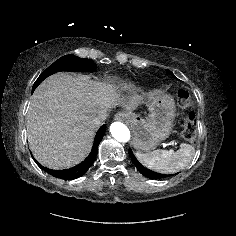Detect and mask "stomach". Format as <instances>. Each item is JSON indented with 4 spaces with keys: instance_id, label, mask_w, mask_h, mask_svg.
<instances>
[{
    "instance_id": "0dacf381",
    "label": "stomach",
    "mask_w": 236,
    "mask_h": 236,
    "mask_svg": "<svg viewBox=\"0 0 236 236\" xmlns=\"http://www.w3.org/2000/svg\"><path fill=\"white\" fill-rule=\"evenodd\" d=\"M146 118L128 111L126 118L133 132V146L139 151H151L169 137L175 117V102L167 94L151 92L147 99Z\"/></svg>"
}]
</instances>
